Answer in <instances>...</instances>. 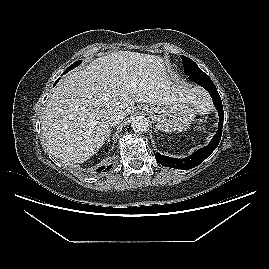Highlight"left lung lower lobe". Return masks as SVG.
I'll use <instances>...</instances> for the list:
<instances>
[{
	"instance_id": "obj_1",
	"label": "left lung lower lobe",
	"mask_w": 269,
	"mask_h": 269,
	"mask_svg": "<svg viewBox=\"0 0 269 269\" xmlns=\"http://www.w3.org/2000/svg\"><path fill=\"white\" fill-rule=\"evenodd\" d=\"M189 79L199 84L210 93L213 99V104L217 109L219 115L218 131L216 132L211 142L207 146L195 151L191 156L187 158L183 159L170 158L161 155L160 153L157 152L155 154L157 162L166 167H172L178 169H191L198 166L217 148L222 136L224 114H223L222 101L218 94L216 86L204 72L191 75L189 76Z\"/></svg>"
}]
</instances>
